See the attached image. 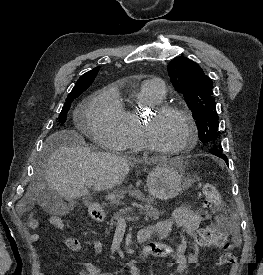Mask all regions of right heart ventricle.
<instances>
[{"mask_svg": "<svg viewBox=\"0 0 263 275\" xmlns=\"http://www.w3.org/2000/svg\"><path fill=\"white\" fill-rule=\"evenodd\" d=\"M160 97L156 91L146 83H143L134 94V105L127 107L120 104V122L124 136L123 149L138 152L145 148L140 134V110L146 106L160 103Z\"/></svg>", "mask_w": 263, "mask_h": 275, "instance_id": "e07e8e85", "label": "right heart ventricle"}]
</instances>
